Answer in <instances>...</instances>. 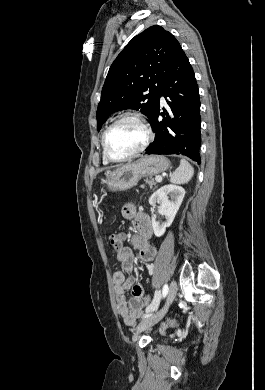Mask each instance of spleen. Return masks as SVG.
Segmentation results:
<instances>
[{
	"label": "spleen",
	"instance_id": "spleen-1",
	"mask_svg": "<svg viewBox=\"0 0 265 390\" xmlns=\"http://www.w3.org/2000/svg\"><path fill=\"white\" fill-rule=\"evenodd\" d=\"M193 175V167L185 159H181L179 167L170 175V182L185 184L191 180Z\"/></svg>",
	"mask_w": 265,
	"mask_h": 390
}]
</instances>
